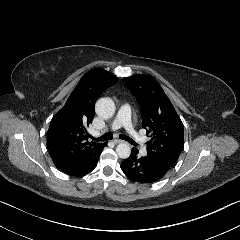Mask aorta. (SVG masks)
I'll return each mask as SVG.
<instances>
[{"mask_svg":"<svg viewBox=\"0 0 240 240\" xmlns=\"http://www.w3.org/2000/svg\"><path fill=\"white\" fill-rule=\"evenodd\" d=\"M115 102L108 97H103L97 100L95 104L96 114L104 119L112 117L115 113ZM116 153L120 158H128L131 154L130 145L126 142H121L116 147Z\"/></svg>","mask_w":240,"mask_h":240,"instance_id":"aorta-1","label":"aorta"}]
</instances>
